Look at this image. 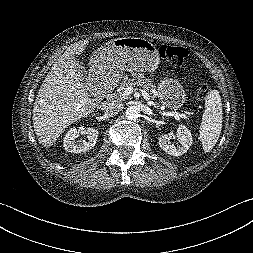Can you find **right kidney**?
Instances as JSON below:
<instances>
[{"instance_id": "1", "label": "right kidney", "mask_w": 253, "mask_h": 253, "mask_svg": "<svg viewBox=\"0 0 253 253\" xmlns=\"http://www.w3.org/2000/svg\"><path fill=\"white\" fill-rule=\"evenodd\" d=\"M79 132L76 128H71L64 137V148L68 152L81 153L86 152L96 144L98 138V131L93 128H87L85 134H87V141L77 142Z\"/></svg>"}]
</instances>
